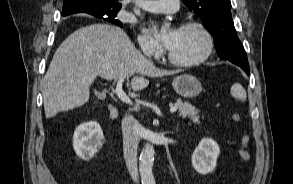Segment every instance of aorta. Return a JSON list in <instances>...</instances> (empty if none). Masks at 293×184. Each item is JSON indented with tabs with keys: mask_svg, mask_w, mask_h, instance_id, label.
I'll return each instance as SVG.
<instances>
[{
	"mask_svg": "<svg viewBox=\"0 0 293 184\" xmlns=\"http://www.w3.org/2000/svg\"><path fill=\"white\" fill-rule=\"evenodd\" d=\"M169 23H165L168 27ZM154 162V147L151 144H146L140 155L139 171L142 184H155V179L152 173Z\"/></svg>",
	"mask_w": 293,
	"mask_h": 184,
	"instance_id": "aorta-1",
	"label": "aorta"
}]
</instances>
